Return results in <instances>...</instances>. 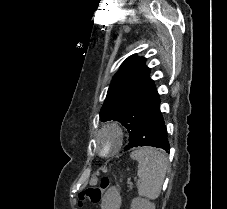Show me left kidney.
Here are the masks:
<instances>
[{"label":"left kidney","mask_w":227,"mask_h":209,"mask_svg":"<svg viewBox=\"0 0 227 209\" xmlns=\"http://www.w3.org/2000/svg\"><path fill=\"white\" fill-rule=\"evenodd\" d=\"M131 209H155V205L154 203H150L148 199L137 197V199H133Z\"/></svg>","instance_id":"1"}]
</instances>
